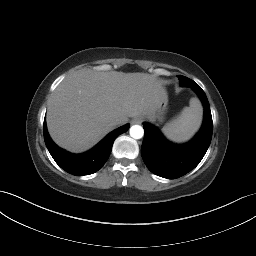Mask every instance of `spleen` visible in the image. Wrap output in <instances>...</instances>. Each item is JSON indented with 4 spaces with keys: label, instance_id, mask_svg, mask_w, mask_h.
Returning <instances> with one entry per match:
<instances>
[{
    "label": "spleen",
    "instance_id": "1",
    "mask_svg": "<svg viewBox=\"0 0 256 256\" xmlns=\"http://www.w3.org/2000/svg\"><path fill=\"white\" fill-rule=\"evenodd\" d=\"M201 121L202 106L198 99L191 98L189 107H185L181 115L168 123L162 130L169 140L185 142L198 130Z\"/></svg>",
    "mask_w": 256,
    "mask_h": 256
}]
</instances>
